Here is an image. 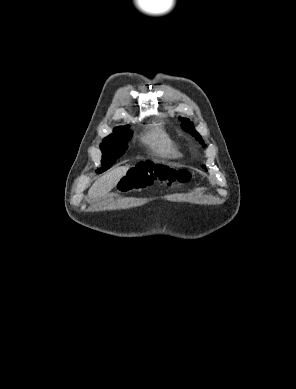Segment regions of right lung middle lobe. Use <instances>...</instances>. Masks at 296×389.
Returning <instances> with one entry per match:
<instances>
[{
    "instance_id": "dd1d6c3e",
    "label": "right lung middle lobe",
    "mask_w": 296,
    "mask_h": 389,
    "mask_svg": "<svg viewBox=\"0 0 296 389\" xmlns=\"http://www.w3.org/2000/svg\"><path fill=\"white\" fill-rule=\"evenodd\" d=\"M132 134L133 132L127 127L120 126L116 127L114 133L103 140V144L100 145L103 152L102 167L98 170V173L109 169L116 159L124 154Z\"/></svg>"
}]
</instances>
